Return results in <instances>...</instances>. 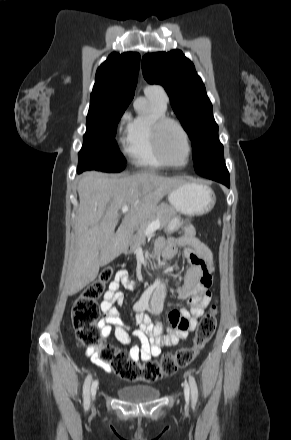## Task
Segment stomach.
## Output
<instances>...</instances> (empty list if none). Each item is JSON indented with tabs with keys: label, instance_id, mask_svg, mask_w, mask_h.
I'll use <instances>...</instances> for the list:
<instances>
[{
	"label": "stomach",
	"instance_id": "0dacf381",
	"mask_svg": "<svg viewBox=\"0 0 291 440\" xmlns=\"http://www.w3.org/2000/svg\"><path fill=\"white\" fill-rule=\"evenodd\" d=\"M168 201L178 213L195 216L211 211L215 205L216 196L207 185L183 181L168 193ZM179 224V218L172 219L169 222L168 230H175Z\"/></svg>",
	"mask_w": 291,
	"mask_h": 440
}]
</instances>
